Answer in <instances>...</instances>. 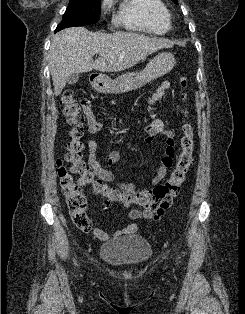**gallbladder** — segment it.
Returning a JSON list of instances; mask_svg holds the SVG:
<instances>
[{"instance_id":"bac80fb5","label":"gallbladder","mask_w":245,"mask_h":314,"mask_svg":"<svg viewBox=\"0 0 245 314\" xmlns=\"http://www.w3.org/2000/svg\"><path fill=\"white\" fill-rule=\"evenodd\" d=\"M79 78H80V75H79V74H72V75H69V76L67 77V83H68L69 85H73V84H75V83L78 82Z\"/></svg>"}]
</instances>
